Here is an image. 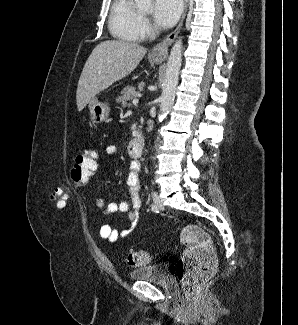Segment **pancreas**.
Instances as JSON below:
<instances>
[{
    "mask_svg": "<svg viewBox=\"0 0 298 325\" xmlns=\"http://www.w3.org/2000/svg\"><path fill=\"white\" fill-rule=\"evenodd\" d=\"M139 90H136V86H133V84H130V86H125L123 90H121L120 96H117L116 102H120L122 106H130L131 102L130 100H133V98H136L137 94H139L141 88H140V82L137 84Z\"/></svg>",
    "mask_w": 298,
    "mask_h": 325,
    "instance_id": "1",
    "label": "pancreas"
}]
</instances>
